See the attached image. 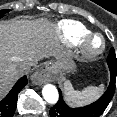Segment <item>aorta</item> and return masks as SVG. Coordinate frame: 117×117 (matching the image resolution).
<instances>
[{
  "instance_id": "762f6f07",
  "label": "aorta",
  "mask_w": 117,
  "mask_h": 117,
  "mask_svg": "<svg viewBox=\"0 0 117 117\" xmlns=\"http://www.w3.org/2000/svg\"><path fill=\"white\" fill-rule=\"evenodd\" d=\"M42 95L45 101L49 104H55L58 101L59 94L57 88L52 84L44 85Z\"/></svg>"
}]
</instances>
